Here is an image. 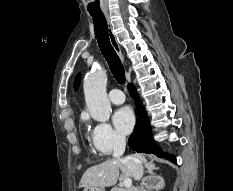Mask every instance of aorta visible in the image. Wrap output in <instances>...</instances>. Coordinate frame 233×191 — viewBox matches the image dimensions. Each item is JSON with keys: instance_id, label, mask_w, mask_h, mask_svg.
I'll use <instances>...</instances> for the list:
<instances>
[{"instance_id": "obj_1", "label": "aorta", "mask_w": 233, "mask_h": 191, "mask_svg": "<svg viewBox=\"0 0 233 191\" xmlns=\"http://www.w3.org/2000/svg\"><path fill=\"white\" fill-rule=\"evenodd\" d=\"M107 76L102 68H95L85 77V102L92 118L99 122L109 120L111 105L106 92Z\"/></svg>"}]
</instances>
